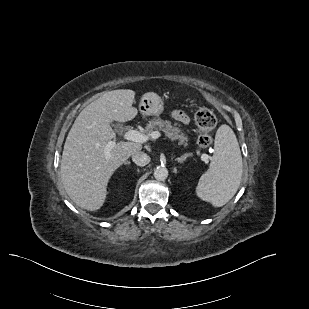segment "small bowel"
<instances>
[{
	"mask_svg": "<svg viewBox=\"0 0 309 309\" xmlns=\"http://www.w3.org/2000/svg\"><path fill=\"white\" fill-rule=\"evenodd\" d=\"M173 117H174L177 121H179V122H181V123H183V124H187V123L189 122V118H188L187 115H186L184 112H182V111H174V112H173Z\"/></svg>",
	"mask_w": 309,
	"mask_h": 309,
	"instance_id": "1",
	"label": "small bowel"
}]
</instances>
